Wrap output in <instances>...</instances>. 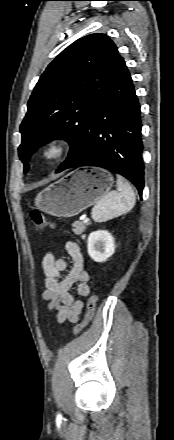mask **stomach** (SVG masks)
<instances>
[{
  "instance_id": "1",
  "label": "stomach",
  "mask_w": 174,
  "mask_h": 440,
  "mask_svg": "<svg viewBox=\"0 0 174 440\" xmlns=\"http://www.w3.org/2000/svg\"><path fill=\"white\" fill-rule=\"evenodd\" d=\"M112 174L97 167L76 169L43 189L35 198L41 211L59 218L78 215L112 188Z\"/></svg>"
}]
</instances>
